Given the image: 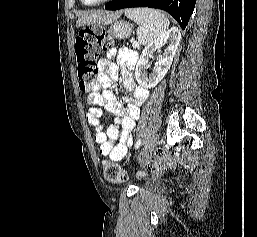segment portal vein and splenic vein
<instances>
[{"mask_svg":"<svg viewBox=\"0 0 257 237\" xmlns=\"http://www.w3.org/2000/svg\"><path fill=\"white\" fill-rule=\"evenodd\" d=\"M137 46H139V44L136 41H134L133 42V47L136 48Z\"/></svg>","mask_w":257,"mask_h":237,"instance_id":"1","label":"portal vein and splenic vein"}]
</instances>
